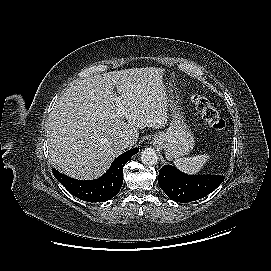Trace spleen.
I'll return each instance as SVG.
<instances>
[{"instance_id":"3e777b00","label":"spleen","mask_w":271,"mask_h":271,"mask_svg":"<svg viewBox=\"0 0 271 271\" xmlns=\"http://www.w3.org/2000/svg\"><path fill=\"white\" fill-rule=\"evenodd\" d=\"M210 156L203 154L194 157L179 158L174 161L175 166L187 174H196L201 171Z\"/></svg>"}]
</instances>
